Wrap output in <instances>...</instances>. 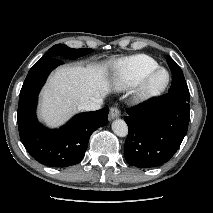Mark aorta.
<instances>
[{
  "mask_svg": "<svg viewBox=\"0 0 213 213\" xmlns=\"http://www.w3.org/2000/svg\"><path fill=\"white\" fill-rule=\"evenodd\" d=\"M112 130L117 136L120 137H125L128 134V126L126 122L122 119H116L112 123Z\"/></svg>",
  "mask_w": 213,
  "mask_h": 213,
  "instance_id": "762f6f07",
  "label": "aorta"
}]
</instances>
